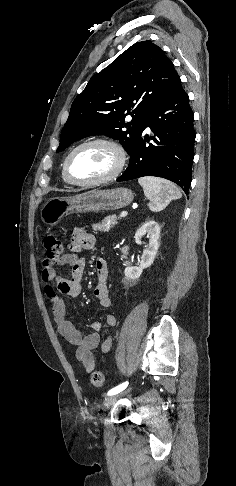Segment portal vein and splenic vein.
Returning <instances> with one entry per match:
<instances>
[{
    "instance_id": "1",
    "label": "portal vein and splenic vein",
    "mask_w": 236,
    "mask_h": 486,
    "mask_svg": "<svg viewBox=\"0 0 236 486\" xmlns=\"http://www.w3.org/2000/svg\"><path fill=\"white\" fill-rule=\"evenodd\" d=\"M128 214L127 211H123L121 214H120V218H123V217H126Z\"/></svg>"
}]
</instances>
